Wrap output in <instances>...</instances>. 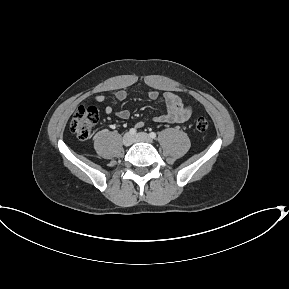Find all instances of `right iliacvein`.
<instances>
[{
	"instance_id": "right-iliac-vein-1",
	"label": "right iliac vein",
	"mask_w": 289,
	"mask_h": 289,
	"mask_svg": "<svg viewBox=\"0 0 289 289\" xmlns=\"http://www.w3.org/2000/svg\"><path fill=\"white\" fill-rule=\"evenodd\" d=\"M122 143L124 146L128 147L133 143V136L130 133H126L122 138Z\"/></svg>"
}]
</instances>
